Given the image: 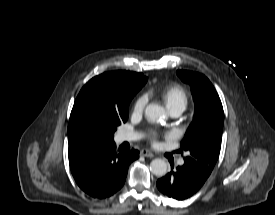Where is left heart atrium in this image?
Wrapping results in <instances>:
<instances>
[{"mask_svg":"<svg viewBox=\"0 0 275 215\" xmlns=\"http://www.w3.org/2000/svg\"><path fill=\"white\" fill-rule=\"evenodd\" d=\"M150 138L152 141H156V139L158 138V133L157 132H151L150 133Z\"/></svg>","mask_w":275,"mask_h":215,"instance_id":"39dd6f15","label":"left heart atrium"}]
</instances>
